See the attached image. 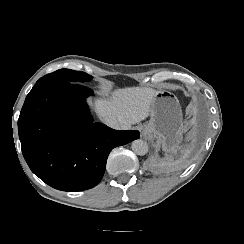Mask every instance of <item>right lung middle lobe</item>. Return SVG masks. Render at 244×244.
<instances>
[{
	"label": "right lung middle lobe",
	"instance_id": "right-lung-middle-lobe-1",
	"mask_svg": "<svg viewBox=\"0 0 244 244\" xmlns=\"http://www.w3.org/2000/svg\"><path fill=\"white\" fill-rule=\"evenodd\" d=\"M92 79L91 75L85 72L74 71L69 69H60L53 73L47 74L40 78L36 85L45 82H72V83H83Z\"/></svg>",
	"mask_w": 244,
	"mask_h": 244
}]
</instances>
